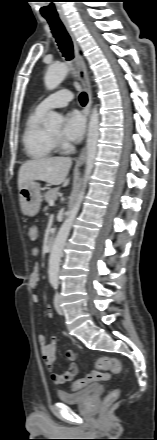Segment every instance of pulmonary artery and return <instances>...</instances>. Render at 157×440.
<instances>
[{
	"instance_id": "1",
	"label": "pulmonary artery",
	"mask_w": 157,
	"mask_h": 440,
	"mask_svg": "<svg viewBox=\"0 0 157 440\" xmlns=\"http://www.w3.org/2000/svg\"><path fill=\"white\" fill-rule=\"evenodd\" d=\"M73 99V94L68 90L57 91L43 99L37 108L40 111L47 112L54 108L65 107Z\"/></svg>"
}]
</instances>
